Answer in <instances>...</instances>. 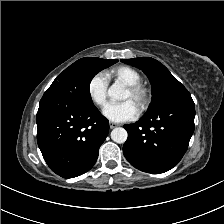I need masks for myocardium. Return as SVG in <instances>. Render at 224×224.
I'll list each match as a JSON object with an SVG mask.
<instances>
[{
    "instance_id": "myocardium-1",
    "label": "myocardium",
    "mask_w": 224,
    "mask_h": 224,
    "mask_svg": "<svg viewBox=\"0 0 224 224\" xmlns=\"http://www.w3.org/2000/svg\"><path fill=\"white\" fill-rule=\"evenodd\" d=\"M126 89L131 93L136 101L137 107L143 111L151 102L150 90L142 84L126 85Z\"/></svg>"
}]
</instances>
